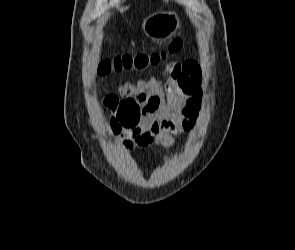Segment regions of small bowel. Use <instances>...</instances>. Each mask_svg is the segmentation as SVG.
<instances>
[{"instance_id":"c3829d8e","label":"small bowel","mask_w":295,"mask_h":250,"mask_svg":"<svg viewBox=\"0 0 295 250\" xmlns=\"http://www.w3.org/2000/svg\"><path fill=\"white\" fill-rule=\"evenodd\" d=\"M202 77L196 61H170L162 76L119 85L118 95L135 99L143 114L137 127L120 134L118 143L129 151L151 144L170 148L175 135L191 133L200 116Z\"/></svg>"}]
</instances>
